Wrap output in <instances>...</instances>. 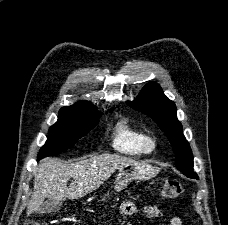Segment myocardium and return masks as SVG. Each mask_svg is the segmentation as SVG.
Segmentation results:
<instances>
[{"mask_svg": "<svg viewBox=\"0 0 228 225\" xmlns=\"http://www.w3.org/2000/svg\"><path fill=\"white\" fill-rule=\"evenodd\" d=\"M149 145H150L151 150H154L156 148V145H157V139L153 136H150Z\"/></svg>", "mask_w": 228, "mask_h": 225, "instance_id": "f54148a6", "label": "myocardium"}]
</instances>
